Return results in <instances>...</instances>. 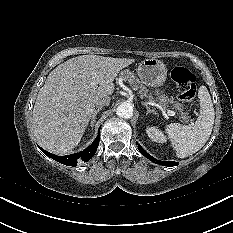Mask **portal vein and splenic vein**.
<instances>
[{
	"instance_id": "18ae733b",
	"label": "portal vein and splenic vein",
	"mask_w": 233,
	"mask_h": 233,
	"mask_svg": "<svg viewBox=\"0 0 233 233\" xmlns=\"http://www.w3.org/2000/svg\"><path fill=\"white\" fill-rule=\"evenodd\" d=\"M90 85H91L92 87H96V86H97V82H96L95 76H94L93 74H92V81H91ZM167 114H168L169 116H175V115H176V112H175V111H172V110H167Z\"/></svg>"
}]
</instances>
